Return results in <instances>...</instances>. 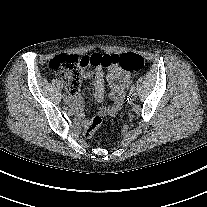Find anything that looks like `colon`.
Returning <instances> with one entry per match:
<instances>
[{"label":"colon","instance_id":"5ec220e1","mask_svg":"<svg viewBox=\"0 0 207 207\" xmlns=\"http://www.w3.org/2000/svg\"><path fill=\"white\" fill-rule=\"evenodd\" d=\"M144 64V58L132 52L120 55L94 53L83 57L66 54L58 55L50 61L49 67L63 77L68 91L73 92L79 88L81 72L86 68L118 67L126 71H139L144 67ZM102 121V117H94L91 123L85 127L84 136L92 137Z\"/></svg>","mask_w":207,"mask_h":207}]
</instances>
